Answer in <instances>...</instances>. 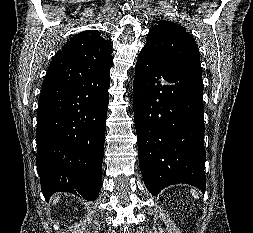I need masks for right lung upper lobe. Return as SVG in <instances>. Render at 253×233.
I'll return each instance as SVG.
<instances>
[{
    "label": "right lung upper lobe",
    "mask_w": 253,
    "mask_h": 233,
    "mask_svg": "<svg viewBox=\"0 0 253 233\" xmlns=\"http://www.w3.org/2000/svg\"><path fill=\"white\" fill-rule=\"evenodd\" d=\"M111 43L97 30L74 35L49 65L44 84L102 74L113 64Z\"/></svg>",
    "instance_id": "1"
}]
</instances>
